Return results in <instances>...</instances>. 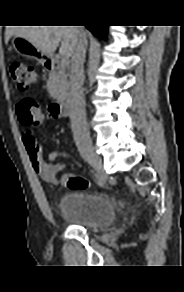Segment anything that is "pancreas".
Segmentation results:
<instances>
[{
    "instance_id": "cf45deb5",
    "label": "pancreas",
    "mask_w": 184,
    "mask_h": 292,
    "mask_svg": "<svg viewBox=\"0 0 184 292\" xmlns=\"http://www.w3.org/2000/svg\"><path fill=\"white\" fill-rule=\"evenodd\" d=\"M66 66L61 64L50 74L47 82V90L52 98L65 96L69 89Z\"/></svg>"
}]
</instances>
